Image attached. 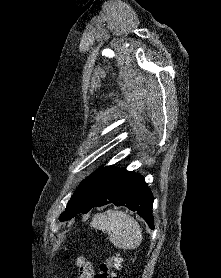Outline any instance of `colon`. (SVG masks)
Masks as SVG:
<instances>
[{
  "label": "colon",
  "mask_w": 221,
  "mask_h": 278,
  "mask_svg": "<svg viewBox=\"0 0 221 278\" xmlns=\"http://www.w3.org/2000/svg\"><path fill=\"white\" fill-rule=\"evenodd\" d=\"M121 261L119 254H110L100 264L98 271L83 258L76 259V265L79 268L80 278H118L117 270L121 266Z\"/></svg>",
  "instance_id": "colon-1"
}]
</instances>
